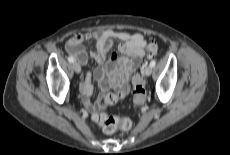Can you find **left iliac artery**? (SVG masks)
<instances>
[{"label":"left iliac artery","mask_w":230,"mask_h":155,"mask_svg":"<svg viewBox=\"0 0 230 155\" xmlns=\"http://www.w3.org/2000/svg\"><path fill=\"white\" fill-rule=\"evenodd\" d=\"M156 65V60H152L151 62H150V66L151 67H154Z\"/></svg>","instance_id":"left-iliac-artery-1"}]
</instances>
